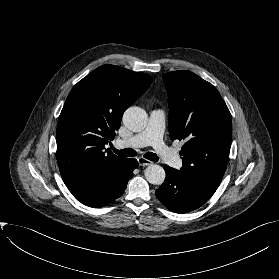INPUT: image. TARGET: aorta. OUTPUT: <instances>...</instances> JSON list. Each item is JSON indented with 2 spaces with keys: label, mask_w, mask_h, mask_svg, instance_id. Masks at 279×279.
Returning a JSON list of instances; mask_svg holds the SVG:
<instances>
[{
  "label": "aorta",
  "mask_w": 279,
  "mask_h": 279,
  "mask_svg": "<svg viewBox=\"0 0 279 279\" xmlns=\"http://www.w3.org/2000/svg\"><path fill=\"white\" fill-rule=\"evenodd\" d=\"M147 120V113L140 107H130L123 115L124 125L134 132H140L145 129ZM165 176V171L160 165L152 164L145 169V178L151 184L161 185L165 180Z\"/></svg>",
  "instance_id": "1"
}]
</instances>
